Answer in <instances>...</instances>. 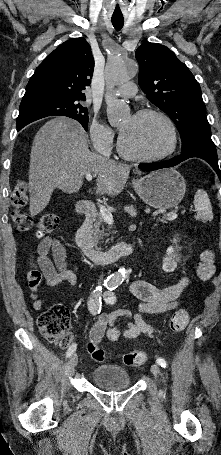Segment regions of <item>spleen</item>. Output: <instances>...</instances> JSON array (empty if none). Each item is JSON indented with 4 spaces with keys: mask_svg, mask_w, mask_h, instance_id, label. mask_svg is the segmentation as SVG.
Returning a JSON list of instances; mask_svg holds the SVG:
<instances>
[{
    "mask_svg": "<svg viewBox=\"0 0 221 455\" xmlns=\"http://www.w3.org/2000/svg\"><path fill=\"white\" fill-rule=\"evenodd\" d=\"M194 206L197 211L195 219L213 220L212 205L208 194L203 189H198L194 195Z\"/></svg>",
    "mask_w": 221,
    "mask_h": 455,
    "instance_id": "spleen-1",
    "label": "spleen"
}]
</instances>
